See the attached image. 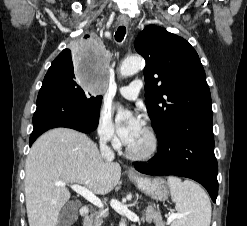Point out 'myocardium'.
<instances>
[{"label": "myocardium", "instance_id": "f54148a6", "mask_svg": "<svg viewBox=\"0 0 247 226\" xmlns=\"http://www.w3.org/2000/svg\"><path fill=\"white\" fill-rule=\"evenodd\" d=\"M144 129L146 130V132L149 136L150 146L145 152L136 153V152L132 151L129 148V146L127 145L125 147V151H126L127 156L130 159H133L136 161H148V160L152 159L158 152L160 141H159V137H158L156 131L151 126H146Z\"/></svg>", "mask_w": 247, "mask_h": 226}]
</instances>
